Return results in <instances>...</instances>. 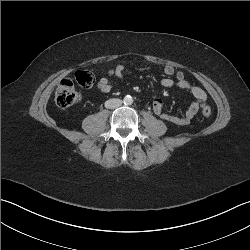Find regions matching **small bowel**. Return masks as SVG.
Wrapping results in <instances>:
<instances>
[{"mask_svg": "<svg viewBox=\"0 0 250 250\" xmlns=\"http://www.w3.org/2000/svg\"><path fill=\"white\" fill-rule=\"evenodd\" d=\"M125 67L117 65L111 68L109 75L111 77L121 78L124 75ZM165 78L160 80V85L164 88L177 87L181 90L190 92L195 101L190 104L184 114L173 115L166 113L163 108V102L160 97L154 96L152 99L153 111L162 120L174 125H188L193 117L206 105L207 94L206 92L190 83L182 71H176L174 67L168 65L164 67ZM97 88L102 93H109L112 90V83L108 78H102L97 83Z\"/></svg>", "mask_w": 250, "mask_h": 250, "instance_id": "c3829d8e", "label": "small bowel"}]
</instances>
